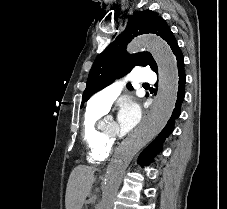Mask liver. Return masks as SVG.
<instances>
[{
	"label": "liver",
	"mask_w": 227,
	"mask_h": 209,
	"mask_svg": "<svg viewBox=\"0 0 227 209\" xmlns=\"http://www.w3.org/2000/svg\"><path fill=\"white\" fill-rule=\"evenodd\" d=\"M94 173V167H85V165H79L72 171L67 183L66 209H82L83 203L91 191Z\"/></svg>",
	"instance_id": "liver-1"
}]
</instances>
